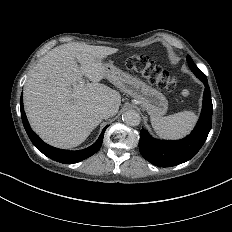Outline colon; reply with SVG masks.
<instances>
[{
  "mask_svg": "<svg viewBox=\"0 0 232 232\" xmlns=\"http://www.w3.org/2000/svg\"><path fill=\"white\" fill-rule=\"evenodd\" d=\"M149 56H128L127 65L133 73H142L149 79L150 86H166V91H175V86H170V82H176L177 78L173 74H162L163 66L148 64Z\"/></svg>",
  "mask_w": 232,
  "mask_h": 232,
  "instance_id": "5ec220e1",
  "label": "colon"
}]
</instances>
